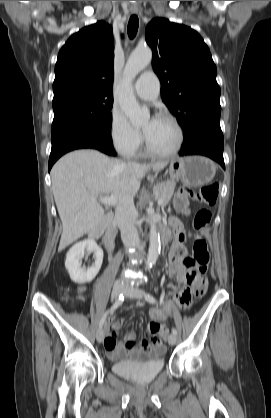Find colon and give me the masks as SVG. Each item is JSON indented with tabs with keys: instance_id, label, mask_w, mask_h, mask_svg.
Here are the masks:
<instances>
[{
	"instance_id": "obj_1",
	"label": "colon",
	"mask_w": 271,
	"mask_h": 418,
	"mask_svg": "<svg viewBox=\"0 0 271 418\" xmlns=\"http://www.w3.org/2000/svg\"><path fill=\"white\" fill-rule=\"evenodd\" d=\"M219 194V184L217 182L210 183L200 188L198 192H194L188 187L180 188L174 197V206L181 213H187L190 207V201L194 198L199 200L206 206L215 205ZM211 220V212L208 208L199 209L194 217L193 226L196 231L204 229ZM210 263V253L206 240L196 234L193 242V254L191 258H185L183 265L185 268L194 269L195 282L193 292L195 297H201L208 285L207 271ZM151 332H156L160 326L151 322L149 325ZM157 341V338L153 339Z\"/></svg>"
}]
</instances>
